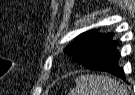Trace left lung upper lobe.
<instances>
[{
	"mask_svg": "<svg viewBox=\"0 0 135 95\" xmlns=\"http://www.w3.org/2000/svg\"><path fill=\"white\" fill-rule=\"evenodd\" d=\"M110 36L112 33L101 34L97 33L95 29L84 32L69 44L64 52L72 56L77 63L83 65L92 51Z\"/></svg>",
	"mask_w": 135,
	"mask_h": 95,
	"instance_id": "obj_1",
	"label": "left lung upper lobe"
}]
</instances>
